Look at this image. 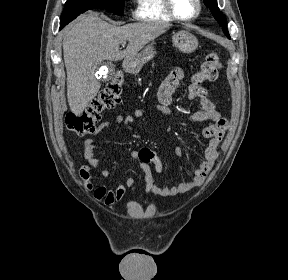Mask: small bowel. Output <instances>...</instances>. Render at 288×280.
<instances>
[{"mask_svg": "<svg viewBox=\"0 0 288 280\" xmlns=\"http://www.w3.org/2000/svg\"><path fill=\"white\" fill-rule=\"evenodd\" d=\"M184 78L185 71L182 68H176L164 80L158 90V111L165 115H172L170 108L172 95ZM189 98L198 101L201 105V109L191 114L189 119L192 121H211V124L206 126L202 131L203 137L208 140L203 151V161L193 171V176L189 181L172 187H164L157 184V175H160L164 170L161 159L149 148H141L137 151H133L131 157L140 163L145 174V193L167 197L192 191L204 183L218 158V147L228 128V122L218 112L204 87L192 83L189 86ZM145 113V110L137 109L131 115H118L112 120L102 122L95 129L93 135L85 140L84 154L88 160V165L81 168L80 175L86 183V188L93 192V197L96 201L103 202L107 206H113L120 202L128 190L133 186L134 179L132 177H126L123 183H119L111 188L102 184H98L94 187V184L91 182V169L100 167V161L94 154V137L112 124H120L124 129L131 130L135 119L143 117ZM176 153L181 154V149L177 148ZM100 175L103 178H107L109 177L110 172L108 169H101Z\"/></svg>", "mask_w": 288, "mask_h": 280, "instance_id": "c3829d8e", "label": "small bowel"}]
</instances>
